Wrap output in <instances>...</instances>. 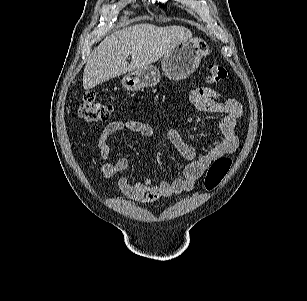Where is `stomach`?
Instances as JSON below:
<instances>
[{"label": "stomach", "instance_id": "stomach-1", "mask_svg": "<svg viewBox=\"0 0 307 301\" xmlns=\"http://www.w3.org/2000/svg\"><path fill=\"white\" fill-rule=\"evenodd\" d=\"M209 47L202 39L181 41L164 55L162 70L167 78L181 81L188 78L199 67L201 60L209 54ZM159 70L152 65L132 71L122 79V86L127 91H137L152 87L160 81Z\"/></svg>", "mask_w": 307, "mask_h": 301}]
</instances>
